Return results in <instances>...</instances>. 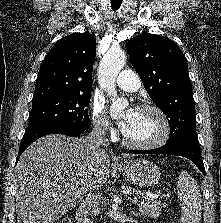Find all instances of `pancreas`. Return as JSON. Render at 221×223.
<instances>
[{
	"mask_svg": "<svg viewBox=\"0 0 221 223\" xmlns=\"http://www.w3.org/2000/svg\"><path fill=\"white\" fill-rule=\"evenodd\" d=\"M126 191L129 194L134 195V202L137 203L139 207V214L147 216L148 218H157L160 217L161 213V202L158 200L151 199L148 196H145L139 190L127 187Z\"/></svg>",
	"mask_w": 221,
	"mask_h": 223,
	"instance_id": "1",
	"label": "pancreas"
}]
</instances>
